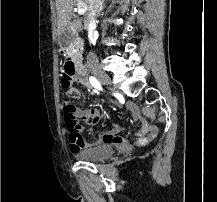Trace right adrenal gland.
I'll use <instances>...</instances> for the list:
<instances>
[{
  "label": "right adrenal gland",
  "instance_id": "1",
  "mask_svg": "<svg viewBox=\"0 0 217 202\" xmlns=\"http://www.w3.org/2000/svg\"><path fill=\"white\" fill-rule=\"evenodd\" d=\"M105 2H106V0H101V2L99 4V8L97 10V18H99V16H101V12L105 6Z\"/></svg>",
  "mask_w": 217,
  "mask_h": 202
}]
</instances>
